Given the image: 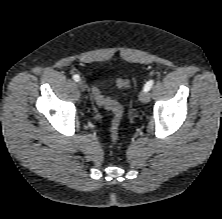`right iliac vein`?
I'll use <instances>...</instances> for the list:
<instances>
[{"instance_id": "right-iliac-vein-1", "label": "right iliac vein", "mask_w": 222, "mask_h": 219, "mask_svg": "<svg viewBox=\"0 0 222 219\" xmlns=\"http://www.w3.org/2000/svg\"><path fill=\"white\" fill-rule=\"evenodd\" d=\"M77 87L81 90L84 91L86 89L85 82L82 80L77 81Z\"/></svg>"}]
</instances>
